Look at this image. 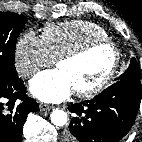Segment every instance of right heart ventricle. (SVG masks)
Listing matches in <instances>:
<instances>
[{
  "label": "right heart ventricle",
  "mask_w": 142,
  "mask_h": 142,
  "mask_svg": "<svg viewBox=\"0 0 142 142\" xmlns=\"http://www.w3.org/2000/svg\"><path fill=\"white\" fill-rule=\"evenodd\" d=\"M43 41L54 60L87 42L108 39L104 28L93 22L73 20L46 24L42 32Z\"/></svg>",
  "instance_id": "1"
}]
</instances>
